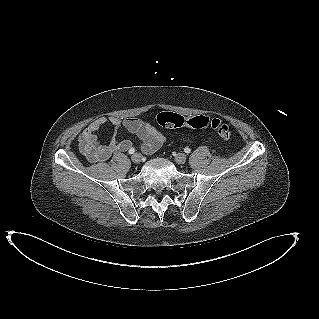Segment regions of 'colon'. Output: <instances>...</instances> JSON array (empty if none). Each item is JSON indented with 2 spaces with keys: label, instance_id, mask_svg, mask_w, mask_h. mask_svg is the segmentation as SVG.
<instances>
[{
  "label": "colon",
  "instance_id": "5ec220e1",
  "mask_svg": "<svg viewBox=\"0 0 319 319\" xmlns=\"http://www.w3.org/2000/svg\"><path fill=\"white\" fill-rule=\"evenodd\" d=\"M154 122L165 128H179L184 125L193 129L210 128L224 140H228L232 137V130L225 122L218 118H210L205 115L192 117L186 120L182 115L165 111L157 114Z\"/></svg>",
  "mask_w": 319,
  "mask_h": 319
}]
</instances>
